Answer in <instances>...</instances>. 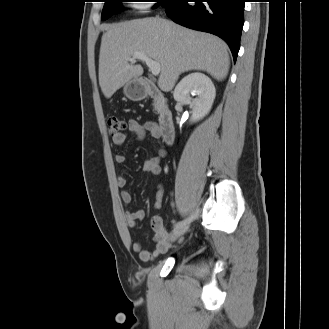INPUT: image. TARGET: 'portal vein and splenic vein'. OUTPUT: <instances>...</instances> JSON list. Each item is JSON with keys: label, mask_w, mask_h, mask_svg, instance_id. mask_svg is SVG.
<instances>
[{"label": "portal vein and splenic vein", "mask_w": 329, "mask_h": 329, "mask_svg": "<svg viewBox=\"0 0 329 329\" xmlns=\"http://www.w3.org/2000/svg\"><path fill=\"white\" fill-rule=\"evenodd\" d=\"M128 60L131 63H135L137 60L145 62L146 65L148 66L150 72L154 76H157L160 73V64L158 62L152 60L151 58H149L144 53H140V52L134 53L131 58H128Z\"/></svg>", "instance_id": "portal-vein-and-splenic-vein-1"}]
</instances>
